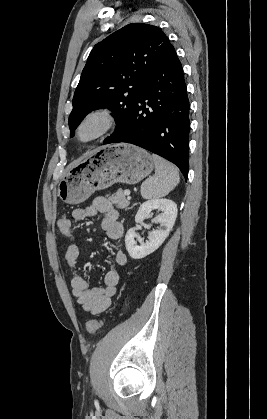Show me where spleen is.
I'll use <instances>...</instances> for the list:
<instances>
[{
  "mask_svg": "<svg viewBox=\"0 0 267 419\" xmlns=\"http://www.w3.org/2000/svg\"><path fill=\"white\" fill-rule=\"evenodd\" d=\"M152 159L155 164V174L141 185V195L144 199L166 196L180 182L179 172L173 164L155 154L152 155Z\"/></svg>",
  "mask_w": 267,
  "mask_h": 419,
  "instance_id": "3e777b00",
  "label": "spleen"
}]
</instances>
